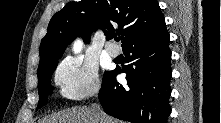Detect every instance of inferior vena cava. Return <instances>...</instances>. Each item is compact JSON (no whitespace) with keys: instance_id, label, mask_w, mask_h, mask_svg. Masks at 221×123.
I'll use <instances>...</instances> for the list:
<instances>
[{"instance_id":"602c4592","label":"inferior vena cava","mask_w":221,"mask_h":123,"mask_svg":"<svg viewBox=\"0 0 221 123\" xmlns=\"http://www.w3.org/2000/svg\"><path fill=\"white\" fill-rule=\"evenodd\" d=\"M91 110H92V113H93V116H94V122L95 123H99L101 122V109H100V106L97 105V104H93L92 107H91Z\"/></svg>"}]
</instances>
